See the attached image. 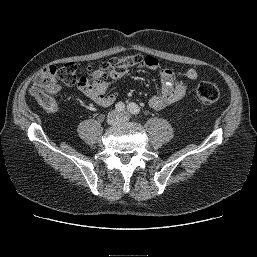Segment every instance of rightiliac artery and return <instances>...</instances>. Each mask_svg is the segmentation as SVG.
<instances>
[{"label": "right iliac artery", "instance_id": "right-iliac-artery-1", "mask_svg": "<svg viewBox=\"0 0 257 257\" xmlns=\"http://www.w3.org/2000/svg\"><path fill=\"white\" fill-rule=\"evenodd\" d=\"M124 109H125V105H124V103H122V102H118L117 104H116V110L117 111H124Z\"/></svg>", "mask_w": 257, "mask_h": 257}]
</instances>
